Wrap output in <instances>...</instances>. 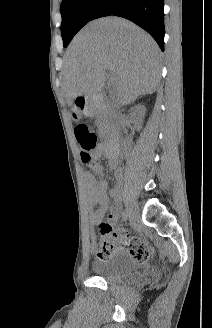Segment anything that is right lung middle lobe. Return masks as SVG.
<instances>
[{
	"mask_svg": "<svg viewBox=\"0 0 212 328\" xmlns=\"http://www.w3.org/2000/svg\"><path fill=\"white\" fill-rule=\"evenodd\" d=\"M102 0H63L60 6L62 15L61 34L64 47L74 35L89 21Z\"/></svg>",
	"mask_w": 212,
	"mask_h": 328,
	"instance_id": "obj_1",
	"label": "right lung middle lobe"
}]
</instances>
